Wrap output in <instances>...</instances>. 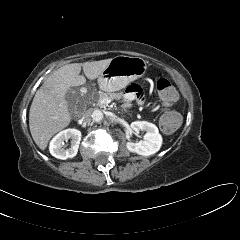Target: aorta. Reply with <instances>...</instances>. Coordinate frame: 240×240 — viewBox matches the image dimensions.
I'll use <instances>...</instances> for the list:
<instances>
[{
	"label": "aorta",
	"instance_id": "762f6f07",
	"mask_svg": "<svg viewBox=\"0 0 240 240\" xmlns=\"http://www.w3.org/2000/svg\"><path fill=\"white\" fill-rule=\"evenodd\" d=\"M92 119L95 122H100L103 119V113L101 110H94L92 113Z\"/></svg>",
	"mask_w": 240,
	"mask_h": 240
}]
</instances>
